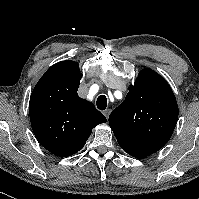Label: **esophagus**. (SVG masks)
<instances>
[{
  "label": "esophagus",
  "mask_w": 199,
  "mask_h": 199,
  "mask_svg": "<svg viewBox=\"0 0 199 199\" xmlns=\"http://www.w3.org/2000/svg\"><path fill=\"white\" fill-rule=\"evenodd\" d=\"M110 111H111L110 109H106L103 111V114L105 115L106 118H108Z\"/></svg>",
  "instance_id": "obj_1"
}]
</instances>
